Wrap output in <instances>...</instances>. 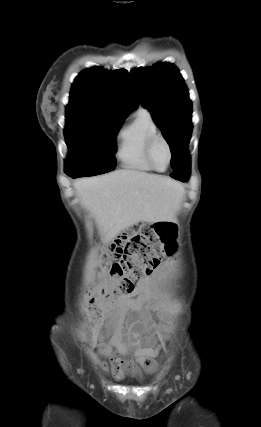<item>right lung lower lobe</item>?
Here are the masks:
<instances>
[{"instance_id":"1","label":"right lung lower lobe","mask_w":261,"mask_h":427,"mask_svg":"<svg viewBox=\"0 0 261 427\" xmlns=\"http://www.w3.org/2000/svg\"><path fill=\"white\" fill-rule=\"evenodd\" d=\"M71 177H73V178H77L76 176H71Z\"/></svg>"}]
</instances>
